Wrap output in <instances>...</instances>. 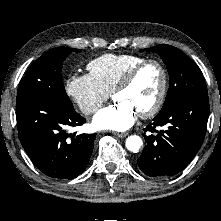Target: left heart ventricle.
<instances>
[{"instance_id":"obj_1","label":"left heart ventricle","mask_w":221,"mask_h":221,"mask_svg":"<svg viewBox=\"0 0 221 221\" xmlns=\"http://www.w3.org/2000/svg\"><path fill=\"white\" fill-rule=\"evenodd\" d=\"M161 86V72L155 65L145 67L135 81L114 99L129 104L137 114L148 110L156 101Z\"/></svg>"}]
</instances>
